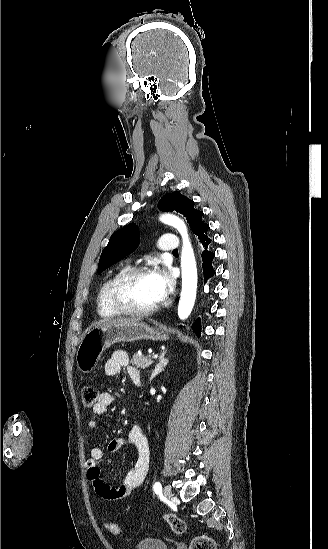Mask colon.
Segmentation results:
<instances>
[{
    "label": "colon",
    "instance_id": "obj_1",
    "mask_svg": "<svg viewBox=\"0 0 328 549\" xmlns=\"http://www.w3.org/2000/svg\"><path fill=\"white\" fill-rule=\"evenodd\" d=\"M98 391L93 386H85L82 390V403L87 409L92 408L98 399ZM165 520L173 532L182 534L186 530V523L174 514H166ZM106 529L112 534H119L121 529L117 523L107 522ZM190 549H215V542L207 535H200L193 539Z\"/></svg>",
    "mask_w": 328,
    "mask_h": 549
}]
</instances>
